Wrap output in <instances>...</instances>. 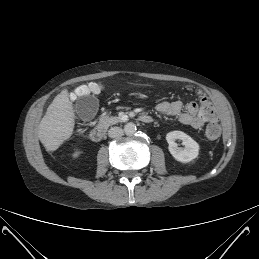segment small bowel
Here are the masks:
<instances>
[{
    "instance_id": "c3829d8e",
    "label": "small bowel",
    "mask_w": 259,
    "mask_h": 259,
    "mask_svg": "<svg viewBox=\"0 0 259 259\" xmlns=\"http://www.w3.org/2000/svg\"><path fill=\"white\" fill-rule=\"evenodd\" d=\"M202 105L199 108L196 103L190 102L184 107L181 101L174 100L160 102L156 109L161 114L177 117L179 122L184 125L199 129L210 121L206 118Z\"/></svg>"
}]
</instances>
